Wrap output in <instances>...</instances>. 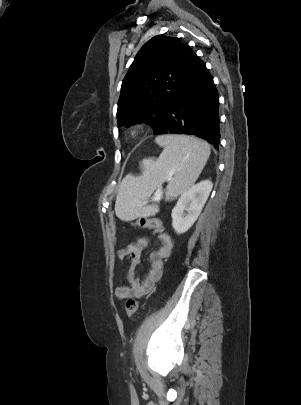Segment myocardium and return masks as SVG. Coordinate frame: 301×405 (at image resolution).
Here are the masks:
<instances>
[{
	"instance_id": "obj_1",
	"label": "myocardium",
	"mask_w": 301,
	"mask_h": 405,
	"mask_svg": "<svg viewBox=\"0 0 301 405\" xmlns=\"http://www.w3.org/2000/svg\"><path fill=\"white\" fill-rule=\"evenodd\" d=\"M142 130V126L137 124V125H133L132 127H130L129 131H128V137L130 139H135L139 136L140 132Z\"/></svg>"
}]
</instances>
